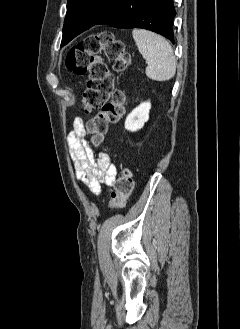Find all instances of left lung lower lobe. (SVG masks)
<instances>
[{
	"instance_id": "0a47b994",
	"label": "left lung lower lobe",
	"mask_w": 240,
	"mask_h": 329,
	"mask_svg": "<svg viewBox=\"0 0 240 329\" xmlns=\"http://www.w3.org/2000/svg\"><path fill=\"white\" fill-rule=\"evenodd\" d=\"M175 15L173 0H119L95 25L143 28L159 33L174 43L172 25Z\"/></svg>"
}]
</instances>
